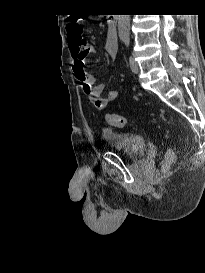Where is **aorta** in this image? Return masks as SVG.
Here are the masks:
<instances>
[{
  "label": "aorta",
  "instance_id": "aorta-1",
  "mask_svg": "<svg viewBox=\"0 0 205 273\" xmlns=\"http://www.w3.org/2000/svg\"><path fill=\"white\" fill-rule=\"evenodd\" d=\"M130 15L118 16V33L123 42H129Z\"/></svg>",
  "mask_w": 205,
  "mask_h": 273
}]
</instances>
